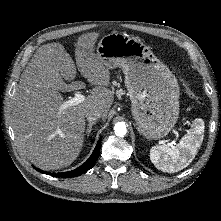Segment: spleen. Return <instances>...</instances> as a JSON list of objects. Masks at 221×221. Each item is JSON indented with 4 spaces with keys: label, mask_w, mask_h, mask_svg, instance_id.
I'll return each mask as SVG.
<instances>
[{
    "label": "spleen",
    "mask_w": 221,
    "mask_h": 221,
    "mask_svg": "<svg viewBox=\"0 0 221 221\" xmlns=\"http://www.w3.org/2000/svg\"><path fill=\"white\" fill-rule=\"evenodd\" d=\"M204 121L195 119L194 127L176 146L156 145L150 149V160L163 172L174 173L186 168L195 158L204 135Z\"/></svg>",
    "instance_id": "1"
}]
</instances>
